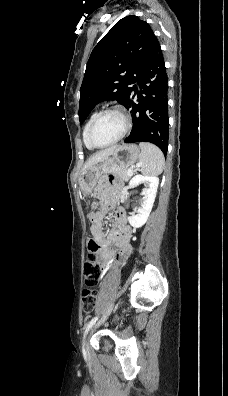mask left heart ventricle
I'll return each instance as SVG.
<instances>
[{
    "label": "left heart ventricle",
    "mask_w": 228,
    "mask_h": 396,
    "mask_svg": "<svg viewBox=\"0 0 228 396\" xmlns=\"http://www.w3.org/2000/svg\"><path fill=\"white\" fill-rule=\"evenodd\" d=\"M124 128L122 118L116 113H107L94 126L92 140L97 145H105L116 139Z\"/></svg>",
    "instance_id": "obj_1"
}]
</instances>
